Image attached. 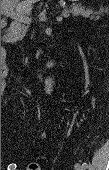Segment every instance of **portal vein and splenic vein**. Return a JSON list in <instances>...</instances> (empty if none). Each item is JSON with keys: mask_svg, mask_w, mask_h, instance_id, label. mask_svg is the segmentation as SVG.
<instances>
[{"mask_svg": "<svg viewBox=\"0 0 109 170\" xmlns=\"http://www.w3.org/2000/svg\"><path fill=\"white\" fill-rule=\"evenodd\" d=\"M3 14H5L6 16H9L13 19L19 20L23 23L29 24L31 22V19H29L23 12L20 11H14V7H9V6H4L3 10H2ZM70 14L68 13H64L62 17H57V21L61 22L63 17L67 18L69 17Z\"/></svg>", "mask_w": 109, "mask_h": 170, "instance_id": "portal-vein-and-splenic-vein-1", "label": "portal vein and splenic vein"}]
</instances>
